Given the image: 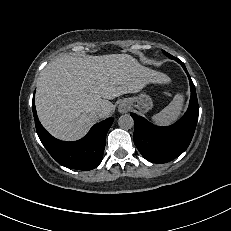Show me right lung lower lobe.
<instances>
[{
    "instance_id": "1",
    "label": "right lung lower lobe",
    "mask_w": 231,
    "mask_h": 231,
    "mask_svg": "<svg viewBox=\"0 0 231 231\" xmlns=\"http://www.w3.org/2000/svg\"><path fill=\"white\" fill-rule=\"evenodd\" d=\"M32 109L37 134L49 154L59 164L68 168L87 171L96 168L101 163L106 134L113 123L112 117L95 124L82 139L64 142L52 137L42 127L37 117L34 101Z\"/></svg>"
}]
</instances>
